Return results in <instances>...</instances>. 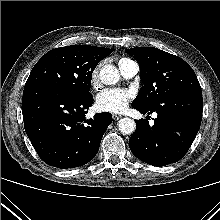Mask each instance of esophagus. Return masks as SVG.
<instances>
[{"label":"esophagus","mask_w":220,"mask_h":220,"mask_svg":"<svg viewBox=\"0 0 220 220\" xmlns=\"http://www.w3.org/2000/svg\"><path fill=\"white\" fill-rule=\"evenodd\" d=\"M122 116L121 115H118V114H113V119L115 121L119 120Z\"/></svg>","instance_id":"1"}]
</instances>
